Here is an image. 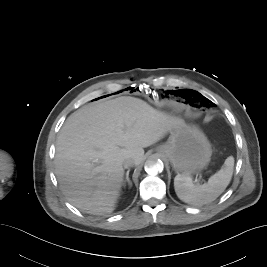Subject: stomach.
Here are the masks:
<instances>
[{
	"label": "stomach",
	"instance_id": "1",
	"mask_svg": "<svg viewBox=\"0 0 267 267\" xmlns=\"http://www.w3.org/2000/svg\"><path fill=\"white\" fill-rule=\"evenodd\" d=\"M177 173L190 176L205 169L212 155L209 141L197 127L184 125L170 130L167 142L158 149Z\"/></svg>",
	"mask_w": 267,
	"mask_h": 267
}]
</instances>
